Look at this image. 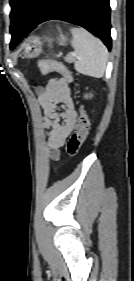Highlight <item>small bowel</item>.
Returning <instances> with one entry per match:
<instances>
[{"mask_svg": "<svg viewBox=\"0 0 134 281\" xmlns=\"http://www.w3.org/2000/svg\"><path fill=\"white\" fill-rule=\"evenodd\" d=\"M43 109V126L48 136L51 159L60 158L64 145L76 124L77 112L68 84L62 79H51L39 93Z\"/></svg>", "mask_w": 134, "mask_h": 281, "instance_id": "1", "label": "small bowel"}]
</instances>
